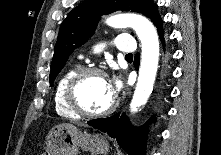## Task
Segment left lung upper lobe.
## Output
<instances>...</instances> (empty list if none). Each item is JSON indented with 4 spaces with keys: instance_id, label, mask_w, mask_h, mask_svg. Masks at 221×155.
<instances>
[{
    "instance_id": "obj_1",
    "label": "left lung upper lobe",
    "mask_w": 221,
    "mask_h": 155,
    "mask_svg": "<svg viewBox=\"0 0 221 155\" xmlns=\"http://www.w3.org/2000/svg\"><path fill=\"white\" fill-rule=\"evenodd\" d=\"M155 7L152 0H84L61 24L51 63L50 85L64 67L68 56L92 36L102 14L126 10L149 17Z\"/></svg>"
}]
</instances>
